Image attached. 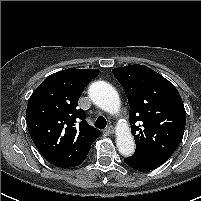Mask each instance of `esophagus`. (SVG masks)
Returning a JSON list of instances; mask_svg holds the SVG:
<instances>
[{
    "label": "esophagus",
    "mask_w": 201,
    "mask_h": 201,
    "mask_svg": "<svg viewBox=\"0 0 201 201\" xmlns=\"http://www.w3.org/2000/svg\"><path fill=\"white\" fill-rule=\"evenodd\" d=\"M106 133L108 134H113L114 133V128L112 125H109L106 129H105Z\"/></svg>",
    "instance_id": "34e87169"
}]
</instances>
